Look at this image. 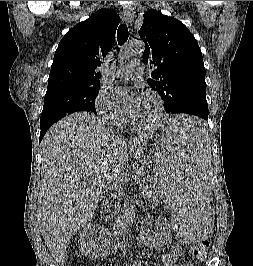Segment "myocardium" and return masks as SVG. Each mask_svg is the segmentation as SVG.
I'll return each instance as SVG.
<instances>
[{"mask_svg":"<svg viewBox=\"0 0 253 266\" xmlns=\"http://www.w3.org/2000/svg\"><path fill=\"white\" fill-rule=\"evenodd\" d=\"M143 95H146V96L153 98V100L155 101L156 106H157L156 114L154 115V117L150 121H148L146 123H138L133 118H130V123L134 127H137V128H151V127L155 126L160 121V119L163 115L164 105H163V101L160 98V96L153 91H145L143 93Z\"/></svg>","mask_w":253,"mask_h":266,"instance_id":"1","label":"myocardium"}]
</instances>
